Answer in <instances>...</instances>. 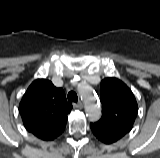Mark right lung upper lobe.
Segmentation results:
<instances>
[{"label": "right lung upper lobe", "instance_id": "cb5924a9", "mask_svg": "<svg viewBox=\"0 0 160 158\" xmlns=\"http://www.w3.org/2000/svg\"><path fill=\"white\" fill-rule=\"evenodd\" d=\"M71 109L64 90L47 79L33 81L19 104L26 130L45 141L54 140L64 131Z\"/></svg>", "mask_w": 160, "mask_h": 158}]
</instances>
